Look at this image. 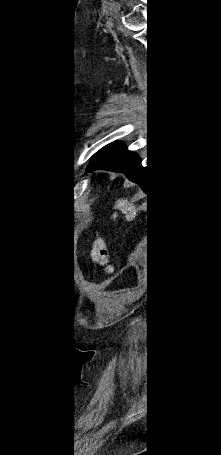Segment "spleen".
I'll return each mask as SVG.
<instances>
[{"instance_id":"3e777b00","label":"spleen","mask_w":221,"mask_h":455,"mask_svg":"<svg viewBox=\"0 0 221 455\" xmlns=\"http://www.w3.org/2000/svg\"><path fill=\"white\" fill-rule=\"evenodd\" d=\"M114 209L120 210L123 214H125L127 221H132L136 215L138 208L133 203H130L127 199H119L116 201ZM118 214L114 213L112 218L115 220Z\"/></svg>"}]
</instances>
